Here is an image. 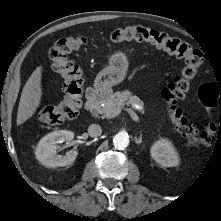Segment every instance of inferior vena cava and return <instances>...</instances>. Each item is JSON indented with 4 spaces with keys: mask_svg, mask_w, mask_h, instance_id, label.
Returning a JSON list of instances; mask_svg holds the SVG:
<instances>
[{
    "mask_svg": "<svg viewBox=\"0 0 221 221\" xmlns=\"http://www.w3.org/2000/svg\"><path fill=\"white\" fill-rule=\"evenodd\" d=\"M88 134L91 137H98V136H100L102 134V129H101L100 125H98V124H91L88 127Z\"/></svg>",
    "mask_w": 221,
    "mask_h": 221,
    "instance_id": "obj_1",
    "label": "inferior vena cava"
}]
</instances>
